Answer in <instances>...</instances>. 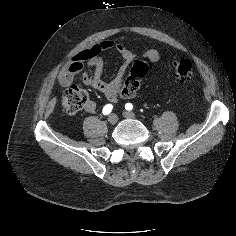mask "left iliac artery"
<instances>
[{
    "label": "left iliac artery",
    "instance_id": "1",
    "mask_svg": "<svg viewBox=\"0 0 236 236\" xmlns=\"http://www.w3.org/2000/svg\"><path fill=\"white\" fill-rule=\"evenodd\" d=\"M125 109L128 110V111H130V110L133 109V105H132L131 103H126Z\"/></svg>",
    "mask_w": 236,
    "mask_h": 236
}]
</instances>
